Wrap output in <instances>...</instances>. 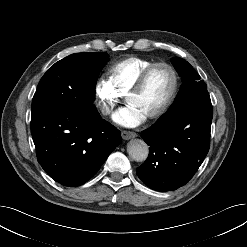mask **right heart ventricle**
Masks as SVG:
<instances>
[{
	"label": "right heart ventricle",
	"instance_id": "1",
	"mask_svg": "<svg viewBox=\"0 0 247 247\" xmlns=\"http://www.w3.org/2000/svg\"><path fill=\"white\" fill-rule=\"evenodd\" d=\"M154 63L141 57H129L112 65L108 72V81L121 96H125L135 84L141 72Z\"/></svg>",
	"mask_w": 247,
	"mask_h": 247
}]
</instances>
